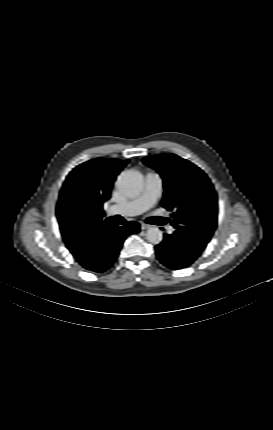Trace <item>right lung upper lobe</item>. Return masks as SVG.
<instances>
[{"mask_svg":"<svg viewBox=\"0 0 273 430\" xmlns=\"http://www.w3.org/2000/svg\"><path fill=\"white\" fill-rule=\"evenodd\" d=\"M128 160L95 158L74 168L63 183L57 204V217L67 248L74 257L87 250L93 230L111 223L104 219L103 203L110 198L111 188ZM80 202L86 217L81 225H72L67 215L74 203Z\"/></svg>","mask_w":273,"mask_h":430,"instance_id":"cb5924a9","label":"right lung upper lobe"}]
</instances>
